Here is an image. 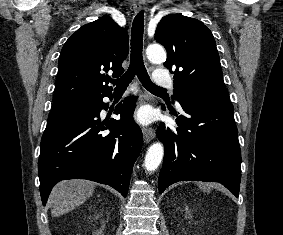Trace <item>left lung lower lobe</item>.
I'll return each instance as SVG.
<instances>
[{
    "label": "left lung lower lobe",
    "mask_w": 283,
    "mask_h": 235,
    "mask_svg": "<svg viewBox=\"0 0 283 235\" xmlns=\"http://www.w3.org/2000/svg\"><path fill=\"white\" fill-rule=\"evenodd\" d=\"M179 103L186 116L170 109L179 127L170 129L161 123L157 129L165 146L159 192L179 181H209L220 182L238 197L241 150L232 103L187 99Z\"/></svg>",
    "instance_id": "0a47b994"
}]
</instances>
